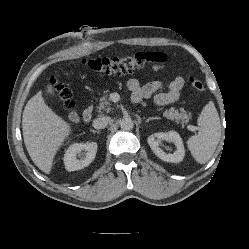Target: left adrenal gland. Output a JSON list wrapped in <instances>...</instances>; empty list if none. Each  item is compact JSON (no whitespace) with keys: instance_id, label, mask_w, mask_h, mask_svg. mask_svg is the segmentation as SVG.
<instances>
[{"instance_id":"left-adrenal-gland-1","label":"left adrenal gland","mask_w":249,"mask_h":249,"mask_svg":"<svg viewBox=\"0 0 249 249\" xmlns=\"http://www.w3.org/2000/svg\"><path fill=\"white\" fill-rule=\"evenodd\" d=\"M154 119H159L158 117H149L148 119L145 120V122H149L151 120H154Z\"/></svg>"}]
</instances>
